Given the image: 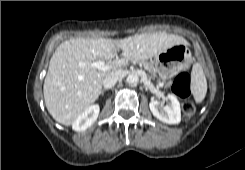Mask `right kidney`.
Segmentation results:
<instances>
[{"instance_id": "ca27d5eb", "label": "right kidney", "mask_w": 245, "mask_h": 170, "mask_svg": "<svg viewBox=\"0 0 245 170\" xmlns=\"http://www.w3.org/2000/svg\"><path fill=\"white\" fill-rule=\"evenodd\" d=\"M100 108L98 105H91L83 111L72 123V129L81 132L93 125L97 120Z\"/></svg>"}]
</instances>
